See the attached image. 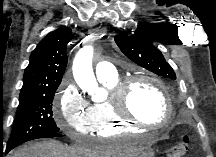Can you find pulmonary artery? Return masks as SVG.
I'll list each match as a JSON object with an SVG mask.
<instances>
[{
    "label": "pulmonary artery",
    "mask_w": 216,
    "mask_h": 157,
    "mask_svg": "<svg viewBox=\"0 0 216 157\" xmlns=\"http://www.w3.org/2000/svg\"><path fill=\"white\" fill-rule=\"evenodd\" d=\"M95 73H96V77L100 81L118 75L117 69L114 66V64L107 61H101L97 63L95 67Z\"/></svg>",
    "instance_id": "pulmonary-artery-1"
}]
</instances>
